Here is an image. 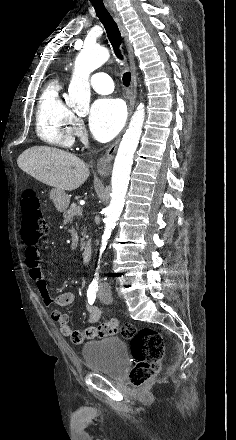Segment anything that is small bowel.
<instances>
[{
    "mask_svg": "<svg viewBox=\"0 0 236 440\" xmlns=\"http://www.w3.org/2000/svg\"><path fill=\"white\" fill-rule=\"evenodd\" d=\"M24 254L29 277L35 282L43 303L49 307L52 305L58 307L70 306L74 302V294L72 292H62L55 298L50 295L47 280L40 265L38 248L35 245L26 244ZM58 307L51 309V318L58 324L60 334L64 337H69L74 344H82L87 339H97L98 342H105L106 339L115 338V330L118 329L117 321H99L98 324H89L83 331L74 330L68 314L63 313ZM85 307L88 312L89 322H97L100 318V310L93 304H89L88 301L85 302Z\"/></svg>",
    "mask_w": 236,
    "mask_h": 440,
    "instance_id": "1",
    "label": "small bowel"
}]
</instances>
